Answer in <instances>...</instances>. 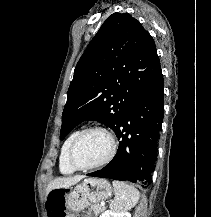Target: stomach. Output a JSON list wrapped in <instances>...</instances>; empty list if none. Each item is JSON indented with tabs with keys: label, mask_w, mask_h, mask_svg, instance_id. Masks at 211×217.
Returning a JSON list of instances; mask_svg holds the SVG:
<instances>
[{
	"label": "stomach",
	"mask_w": 211,
	"mask_h": 217,
	"mask_svg": "<svg viewBox=\"0 0 211 217\" xmlns=\"http://www.w3.org/2000/svg\"><path fill=\"white\" fill-rule=\"evenodd\" d=\"M67 190L66 208L74 213L105 200L112 193L110 183L104 178H88L75 187H67Z\"/></svg>",
	"instance_id": "0dacf381"
}]
</instances>
